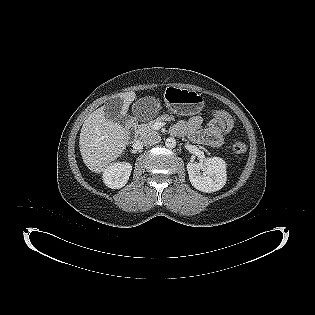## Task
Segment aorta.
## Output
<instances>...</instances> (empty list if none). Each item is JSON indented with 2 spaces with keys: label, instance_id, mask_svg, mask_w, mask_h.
<instances>
[{
  "label": "aorta",
  "instance_id": "762f6f07",
  "mask_svg": "<svg viewBox=\"0 0 315 315\" xmlns=\"http://www.w3.org/2000/svg\"><path fill=\"white\" fill-rule=\"evenodd\" d=\"M165 146L167 148H174L176 146V140L172 137L167 138L165 141Z\"/></svg>",
  "mask_w": 315,
  "mask_h": 315
}]
</instances>
